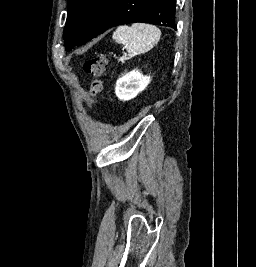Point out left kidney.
<instances>
[{"instance_id": "obj_1", "label": "left kidney", "mask_w": 256, "mask_h": 267, "mask_svg": "<svg viewBox=\"0 0 256 267\" xmlns=\"http://www.w3.org/2000/svg\"><path fill=\"white\" fill-rule=\"evenodd\" d=\"M149 82H151L150 76H143L139 70H132L117 80L115 94L119 100H132L147 88Z\"/></svg>"}]
</instances>
